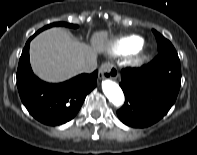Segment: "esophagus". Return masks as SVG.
I'll return each instance as SVG.
<instances>
[{"label": "esophagus", "mask_w": 197, "mask_h": 155, "mask_svg": "<svg viewBox=\"0 0 197 155\" xmlns=\"http://www.w3.org/2000/svg\"><path fill=\"white\" fill-rule=\"evenodd\" d=\"M99 74H100V78L101 79H116L118 76V69L116 66L109 64V63H105L103 65H101L100 69H99Z\"/></svg>", "instance_id": "esophagus-1"}]
</instances>
